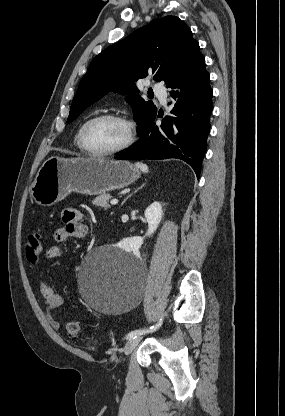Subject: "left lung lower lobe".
Masks as SVG:
<instances>
[{
    "label": "left lung lower lobe",
    "instance_id": "1",
    "mask_svg": "<svg viewBox=\"0 0 285 416\" xmlns=\"http://www.w3.org/2000/svg\"><path fill=\"white\" fill-rule=\"evenodd\" d=\"M205 59L199 57L170 88V96L176 101L171 113L161 126L152 119L139 131L141 137L132 147L115 156L120 160L178 158L187 162L200 176L201 161L207 146L212 113L213 91ZM156 117V116H155Z\"/></svg>",
    "mask_w": 285,
    "mask_h": 416
}]
</instances>
